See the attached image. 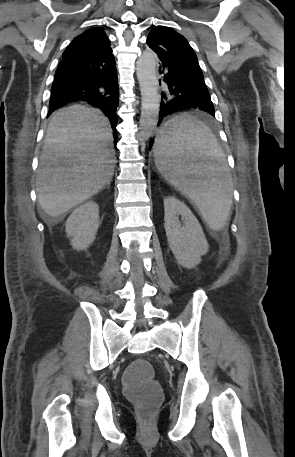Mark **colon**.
I'll use <instances>...</instances> for the list:
<instances>
[{
  "mask_svg": "<svg viewBox=\"0 0 295 457\" xmlns=\"http://www.w3.org/2000/svg\"><path fill=\"white\" fill-rule=\"evenodd\" d=\"M154 375L152 363L139 360L129 363L122 376V389L135 403L138 415L143 421H149L152 418L161 400V388L152 379Z\"/></svg>",
  "mask_w": 295,
  "mask_h": 457,
  "instance_id": "colon-1",
  "label": "colon"
}]
</instances>
